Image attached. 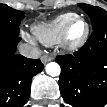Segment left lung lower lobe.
<instances>
[{
	"mask_svg": "<svg viewBox=\"0 0 107 107\" xmlns=\"http://www.w3.org/2000/svg\"><path fill=\"white\" fill-rule=\"evenodd\" d=\"M59 88L73 107H102L107 103V23L94 29L73 55L57 56Z\"/></svg>",
	"mask_w": 107,
	"mask_h": 107,
	"instance_id": "obj_1",
	"label": "left lung lower lobe"
}]
</instances>
